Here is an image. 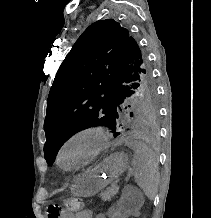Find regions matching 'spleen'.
I'll return each mask as SVG.
<instances>
[{"label":"spleen","mask_w":211,"mask_h":218,"mask_svg":"<svg viewBox=\"0 0 211 218\" xmlns=\"http://www.w3.org/2000/svg\"><path fill=\"white\" fill-rule=\"evenodd\" d=\"M137 186L143 190L149 200H154L159 186L158 164L151 150H135L131 162Z\"/></svg>","instance_id":"1"}]
</instances>
